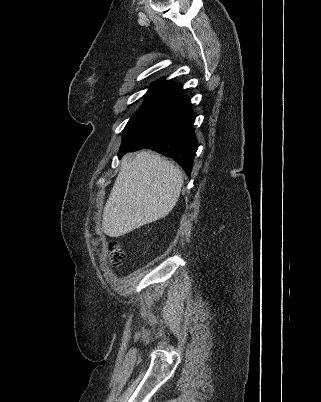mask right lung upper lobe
Returning a JSON list of instances; mask_svg holds the SVG:
<instances>
[{"mask_svg": "<svg viewBox=\"0 0 321 402\" xmlns=\"http://www.w3.org/2000/svg\"><path fill=\"white\" fill-rule=\"evenodd\" d=\"M154 84L156 85H165V86H169V87H177L180 84L179 83H174V82H170V81H165V78H160L158 81H156Z\"/></svg>", "mask_w": 321, "mask_h": 402, "instance_id": "obj_1", "label": "right lung upper lobe"}]
</instances>
